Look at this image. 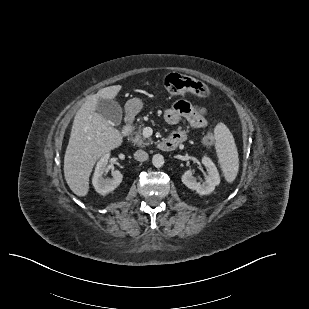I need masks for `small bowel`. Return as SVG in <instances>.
I'll return each instance as SVG.
<instances>
[{"label":"small bowel","mask_w":309,"mask_h":309,"mask_svg":"<svg viewBox=\"0 0 309 309\" xmlns=\"http://www.w3.org/2000/svg\"><path fill=\"white\" fill-rule=\"evenodd\" d=\"M164 118L169 124H176L181 118H185L195 129H200L207 125L206 110L192 106L182 100L166 109ZM170 137L179 139L181 143L186 139L187 135L184 131H176Z\"/></svg>","instance_id":"1"}]
</instances>
